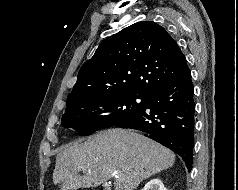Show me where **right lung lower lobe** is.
<instances>
[{
	"mask_svg": "<svg viewBox=\"0 0 238 190\" xmlns=\"http://www.w3.org/2000/svg\"><path fill=\"white\" fill-rule=\"evenodd\" d=\"M194 87L187 67L175 79L152 93L145 106L115 126L144 131L179 154L189 171L194 146Z\"/></svg>",
	"mask_w": 238,
	"mask_h": 190,
	"instance_id": "98d812e1",
	"label": "right lung lower lobe"
}]
</instances>
